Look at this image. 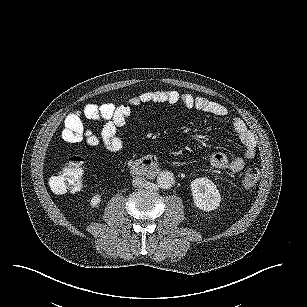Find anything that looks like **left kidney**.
Returning <instances> with one entry per match:
<instances>
[{"label":"left kidney","instance_id":"left-kidney-1","mask_svg":"<svg viewBox=\"0 0 307 307\" xmlns=\"http://www.w3.org/2000/svg\"><path fill=\"white\" fill-rule=\"evenodd\" d=\"M195 204L203 210L216 209L221 196L214 183L208 178H197L191 183Z\"/></svg>","mask_w":307,"mask_h":307}]
</instances>
